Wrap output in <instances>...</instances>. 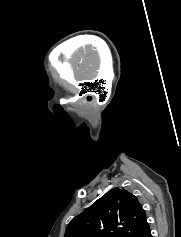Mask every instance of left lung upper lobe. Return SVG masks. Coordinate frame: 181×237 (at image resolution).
Returning <instances> with one entry per match:
<instances>
[{"mask_svg":"<svg viewBox=\"0 0 181 237\" xmlns=\"http://www.w3.org/2000/svg\"><path fill=\"white\" fill-rule=\"evenodd\" d=\"M148 227L138 199L127 190L113 188L74 217L64 237H139Z\"/></svg>","mask_w":181,"mask_h":237,"instance_id":"5c2ea615","label":"left lung upper lobe"}]
</instances>
